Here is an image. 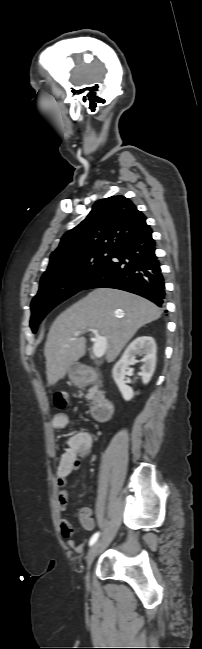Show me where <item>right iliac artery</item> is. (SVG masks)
I'll list each match as a JSON object with an SVG mask.
<instances>
[{
    "label": "right iliac artery",
    "mask_w": 202,
    "mask_h": 649,
    "mask_svg": "<svg viewBox=\"0 0 202 649\" xmlns=\"http://www.w3.org/2000/svg\"><path fill=\"white\" fill-rule=\"evenodd\" d=\"M99 535H100V533H99V532H96V533L91 537V539H90V541H89V545H90V546H92V545L97 541Z\"/></svg>",
    "instance_id": "82829eb1"
}]
</instances>
